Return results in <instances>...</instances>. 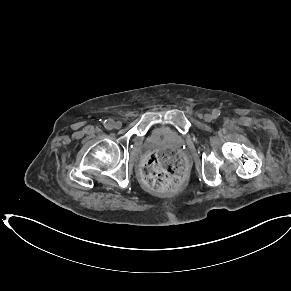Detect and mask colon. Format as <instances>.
<instances>
[{
  "instance_id": "obj_1",
  "label": "colon",
  "mask_w": 291,
  "mask_h": 291,
  "mask_svg": "<svg viewBox=\"0 0 291 291\" xmlns=\"http://www.w3.org/2000/svg\"><path fill=\"white\" fill-rule=\"evenodd\" d=\"M184 170V158L173 149H164L146 156L141 167L143 183L158 192L177 188Z\"/></svg>"
}]
</instances>
